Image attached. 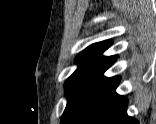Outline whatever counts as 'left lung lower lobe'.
Returning a JSON list of instances; mask_svg holds the SVG:
<instances>
[{
    "label": "left lung lower lobe",
    "instance_id": "left-lung-lower-lobe-1",
    "mask_svg": "<svg viewBox=\"0 0 156 124\" xmlns=\"http://www.w3.org/2000/svg\"><path fill=\"white\" fill-rule=\"evenodd\" d=\"M119 82V77L109 79L78 124H138L137 120L126 113L127 98L115 92Z\"/></svg>",
    "mask_w": 156,
    "mask_h": 124
}]
</instances>
